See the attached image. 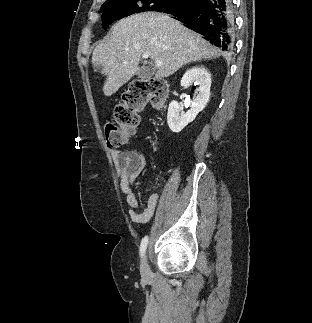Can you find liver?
Instances as JSON below:
<instances>
[{"mask_svg":"<svg viewBox=\"0 0 312 323\" xmlns=\"http://www.w3.org/2000/svg\"><path fill=\"white\" fill-rule=\"evenodd\" d=\"M143 54L154 62H163L155 74L158 80L175 74L189 62L219 56L200 34L185 28L170 14H133L114 24L106 42L93 50L92 64L94 68L101 66V74L106 76L105 96H112L135 76Z\"/></svg>","mask_w":312,"mask_h":323,"instance_id":"obj_1","label":"liver"}]
</instances>
